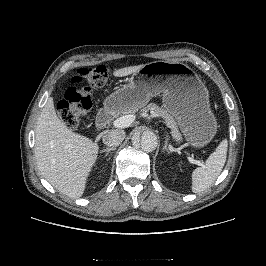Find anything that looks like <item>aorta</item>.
<instances>
[{"label": "aorta", "mask_w": 266, "mask_h": 266, "mask_svg": "<svg viewBox=\"0 0 266 266\" xmlns=\"http://www.w3.org/2000/svg\"><path fill=\"white\" fill-rule=\"evenodd\" d=\"M134 145H140L144 152H153L158 145L157 135L151 130H145L133 139Z\"/></svg>", "instance_id": "obj_1"}]
</instances>
